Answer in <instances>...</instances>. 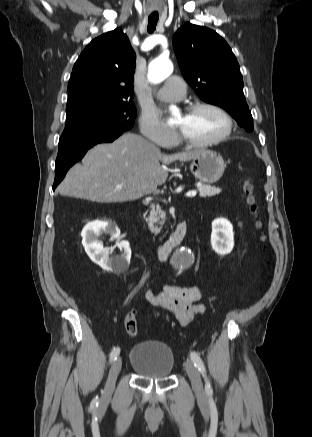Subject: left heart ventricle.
<instances>
[{
  "label": "left heart ventricle",
  "mask_w": 312,
  "mask_h": 437,
  "mask_svg": "<svg viewBox=\"0 0 312 437\" xmlns=\"http://www.w3.org/2000/svg\"><path fill=\"white\" fill-rule=\"evenodd\" d=\"M181 132L194 141H204L219 135L225 128L224 119L212 110H200L181 115L176 120Z\"/></svg>",
  "instance_id": "obj_1"
}]
</instances>
